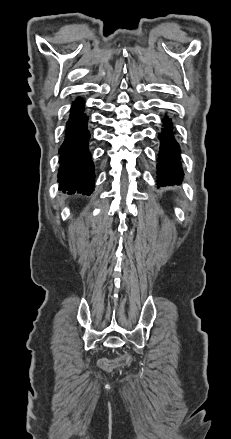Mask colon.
<instances>
[{
	"instance_id": "1",
	"label": "colon",
	"mask_w": 231,
	"mask_h": 439,
	"mask_svg": "<svg viewBox=\"0 0 231 439\" xmlns=\"http://www.w3.org/2000/svg\"><path fill=\"white\" fill-rule=\"evenodd\" d=\"M132 362V357L128 354L123 355L117 359H105L100 362V367L106 371H111L117 368L129 366Z\"/></svg>"
}]
</instances>
